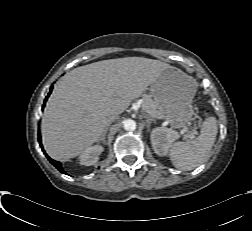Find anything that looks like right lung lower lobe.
Here are the masks:
<instances>
[{"label": "right lung lower lobe", "instance_id": "98d812e1", "mask_svg": "<svg viewBox=\"0 0 252 231\" xmlns=\"http://www.w3.org/2000/svg\"><path fill=\"white\" fill-rule=\"evenodd\" d=\"M50 93H51V90H50ZM50 93H49V94L47 95V97L45 98V101H44L43 106H45V102H46V100L48 99ZM39 144H40V146L42 147L41 137H39ZM42 150H43V147H42ZM44 153H45V152H44ZM46 156H47V155H46ZM47 158H48V160L51 162V164L54 165L60 172L65 173V172L63 171L62 165H61V163H60L59 161H55V160L51 159L49 156H47Z\"/></svg>", "mask_w": 252, "mask_h": 231}]
</instances>
